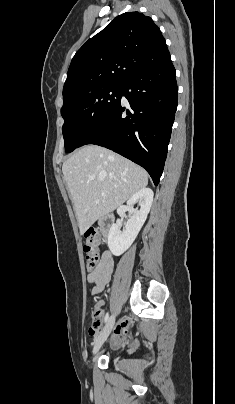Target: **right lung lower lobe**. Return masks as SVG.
I'll return each instance as SVG.
<instances>
[{
    "label": "right lung lower lobe",
    "mask_w": 235,
    "mask_h": 404,
    "mask_svg": "<svg viewBox=\"0 0 235 404\" xmlns=\"http://www.w3.org/2000/svg\"><path fill=\"white\" fill-rule=\"evenodd\" d=\"M170 56L122 84L129 104L118 105L80 143L113 150L142 166L155 185L164 169L177 108L178 89Z\"/></svg>",
    "instance_id": "1"
}]
</instances>
